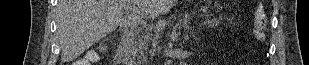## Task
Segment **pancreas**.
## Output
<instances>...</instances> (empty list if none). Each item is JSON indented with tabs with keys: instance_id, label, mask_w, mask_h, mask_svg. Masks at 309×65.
<instances>
[{
	"instance_id": "1",
	"label": "pancreas",
	"mask_w": 309,
	"mask_h": 65,
	"mask_svg": "<svg viewBox=\"0 0 309 65\" xmlns=\"http://www.w3.org/2000/svg\"><path fill=\"white\" fill-rule=\"evenodd\" d=\"M151 36L152 35H146V36L143 37V39L139 40L138 48L140 50H143V49L146 50L149 41H151V43L153 45L152 50L153 51L155 50V45H157L159 43L158 33H156L153 38Z\"/></svg>"
}]
</instances>
